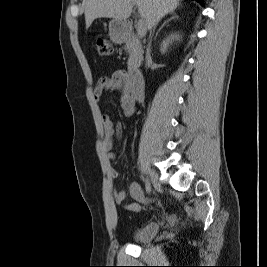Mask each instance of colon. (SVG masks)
Returning a JSON list of instances; mask_svg holds the SVG:
<instances>
[{
    "label": "colon",
    "mask_w": 267,
    "mask_h": 267,
    "mask_svg": "<svg viewBox=\"0 0 267 267\" xmlns=\"http://www.w3.org/2000/svg\"><path fill=\"white\" fill-rule=\"evenodd\" d=\"M95 46L100 56H110L112 54L111 44L102 37H97L95 40Z\"/></svg>",
    "instance_id": "5ec220e1"
}]
</instances>
